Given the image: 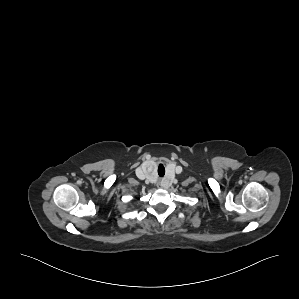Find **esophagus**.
<instances>
[{
  "instance_id": "esophagus-1",
  "label": "esophagus",
  "mask_w": 299,
  "mask_h": 299,
  "mask_svg": "<svg viewBox=\"0 0 299 299\" xmlns=\"http://www.w3.org/2000/svg\"><path fill=\"white\" fill-rule=\"evenodd\" d=\"M158 187H160V188L163 187L162 181L158 183Z\"/></svg>"
}]
</instances>
